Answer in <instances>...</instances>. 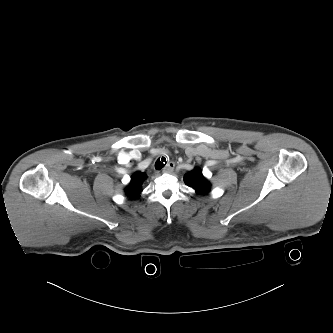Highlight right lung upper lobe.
Listing matches in <instances>:
<instances>
[{"label": "right lung upper lobe", "instance_id": "right-lung-upper-lobe-1", "mask_svg": "<svg viewBox=\"0 0 333 333\" xmlns=\"http://www.w3.org/2000/svg\"><path fill=\"white\" fill-rule=\"evenodd\" d=\"M147 178L145 173L137 171L131 177V181L128 186L125 188V194L130 199H138L142 192V184Z\"/></svg>", "mask_w": 333, "mask_h": 333}]
</instances>
